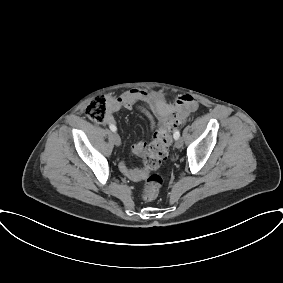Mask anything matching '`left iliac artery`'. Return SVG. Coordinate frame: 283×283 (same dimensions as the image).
Segmentation results:
<instances>
[{
	"mask_svg": "<svg viewBox=\"0 0 283 283\" xmlns=\"http://www.w3.org/2000/svg\"><path fill=\"white\" fill-rule=\"evenodd\" d=\"M174 139H178L180 137V132L179 130H176L173 134Z\"/></svg>",
	"mask_w": 283,
	"mask_h": 283,
	"instance_id": "left-iliac-artery-1",
	"label": "left iliac artery"
}]
</instances>
